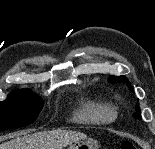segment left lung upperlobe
Masks as SVG:
<instances>
[{"label": "left lung upper lobe", "instance_id": "5c2ea615", "mask_svg": "<svg viewBox=\"0 0 155 149\" xmlns=\"http://www.w3.org/2000/svg\"><path fill=\"white\" fill-rule=\"evenodd\" d=\"M109 82L111 83H126L129 87V89L134 92L133 87L131 86V84L129 83L128 79L125 76H110L109 78ZM136 112L133 113V117L135 119H141V115H140V108H139V104H136V108H135Z\"/></svg>", "mask_w": 155, "mask_h": 149}]
</instances>
